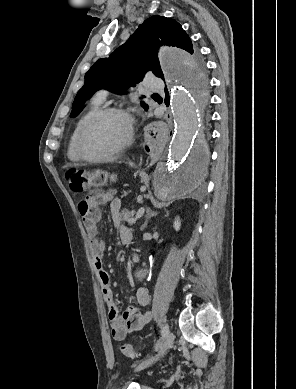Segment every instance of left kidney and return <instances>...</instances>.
Returning <instances> with one entry per match:
<instances>
[{
  "label": "left kidney",
  "instance_id": "obj_1",
  "mask_svg": "<svg viewBox=\"0 0 296 389\" xmlns=\"http://www.w3.org/2000/svg\"><path fill=\"white\" fill-rule=\"evenodd\" d=\"M180 226H181V222H180V219L179 217H176L175 218V221L173 223V227L176 231H178L180 229Z\"/></svg>",
  "mask_w": 296,
  "mask_h": 389
}]
</instances>
